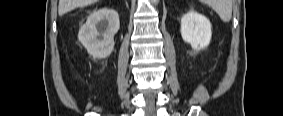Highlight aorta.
Returning a JSON list of instances; mask_svg holds the SVG:
<instances>
[{"instance_id": "1", "label": "aorta", "mask_w": 283, "mask_h": 116, "mask_svg": "<svg viewBox=\"0 0 283 116\" xmlns=\"http://www.w3.org/2000/svg\"><path fill=\"white\" fill-rule=\"evenodd\" d=\"M154 4H157L158 3V0H153Z\"/></svg>"}]
</instances>
